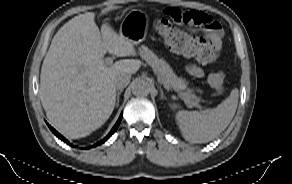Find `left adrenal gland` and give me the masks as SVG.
<instances>
[{
	"mask_svg": "<svg viewBox=\"0 0 292 184\" xmlns=\"http://www.w3.org/2000/svg\"><path fill=\"white\" fill-rule=\"evenodd\" d=\"M160 97L161 99H166L164 93H163V90L160 88Z\"/></svg>",
	"mask_w": 292,
	"mask_h": 184,
	"instance_id": "1",
	"label": "left adrenal gland"
}]
</instances>
